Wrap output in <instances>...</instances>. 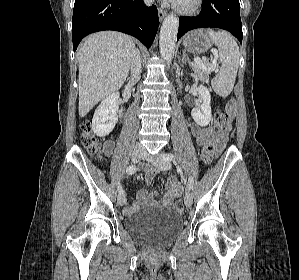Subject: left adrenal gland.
I'll list each match as a JSON object with an SVG mask.
<instances>
[{
	"instance_id": "obj_1",
	"label": "left adrenal gland",
	"mask_w": 299,
	"mask_h": 280,
	"mask_svg": "<svg viewBox=\"0 0 299 280\" xmlns=\"http://www.w3.org/2000/svg\"><path fill=\"white\" fill-rule=\"evenodd\" d=\"M186 61L188 62L189 65H191L190 59L186 54V50L183 51V55H182V65H184L186 63Z\"/></svg>"
}]
</instances>
